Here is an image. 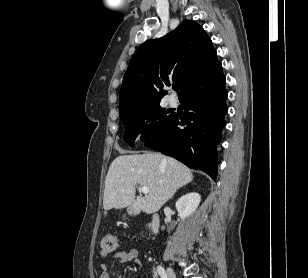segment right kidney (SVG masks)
<instances>
[{"mask_svg": "<svg viewBox=\"0 0 308 278\" xmlns=\"http://www.w3.org/2000/svg\"><path fill=\"white\" fill-rule=\"evenodd\" d=\"M201 201V196L198 193L192 192L182 196L176 202V209L182 220L189 217L195 212L199 203ZM164 229V227H162Z\"/></svg>", "mask_w": 308, "mask_h": 278, "instance_id": "right-kidney-1", "label": "right kidney"}]
</instances>
